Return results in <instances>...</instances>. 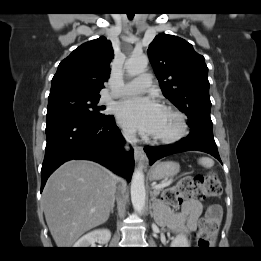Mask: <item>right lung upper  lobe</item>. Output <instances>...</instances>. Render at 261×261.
<instances>
[{"label": "right lung upper lobe", "mask_w": 261, "mask_h": 261, "mask_svg": "<svg viewBox=\"0 0 261 261\" xmlns=\"http://www.w3.org/2000/svg\"><path fill=\"white\" fill-rule=\"evenodd\" d=\"M112 58L111 42L104 36L82 44L59 64L49 97L65 92L100 97Z\"/></svg>", "instance_id": "cb5924a9"}]
</instances>
